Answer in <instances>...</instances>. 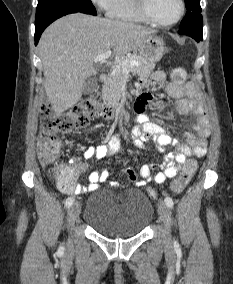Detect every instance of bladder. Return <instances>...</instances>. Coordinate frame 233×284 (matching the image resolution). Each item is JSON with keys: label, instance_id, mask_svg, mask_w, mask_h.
I'll return each instance as SVG.
<instances>
[{"label": "bladder", "instance_id": "1", "mask_svg": "<svg viewBox=\"0 0 233 284\" xmlns=\"http://www.w3.org/2000/svg\"><path fill=\"white\" fill-rule=\"evenodd\" d=\"M154 208L141 191L127 189L116 194L96 193L86 203L84 222L108 238H130L152 222Z\"/></svg>", "mask_w": 233, "mask_h": 284}]
</instances>
